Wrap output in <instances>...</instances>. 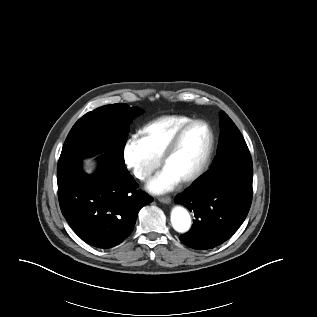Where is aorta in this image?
<instances>
[{
    "label": "aorta",
    "mask_w": 317,
    "mask_h": 317,
    "mask_svg": "<svg viewBox=\"0 0 317 317\" xmlns=\"http://www.w3.org/2000/svg\"><path fill=\"white\" fill-rule=\"evenodd\" d=\"M171 224L175 231L185 233L191 227V217L188 211L181 207H175L171 212Z\"/></svg>",
    "instance_id": "1"
}]
</instances>
